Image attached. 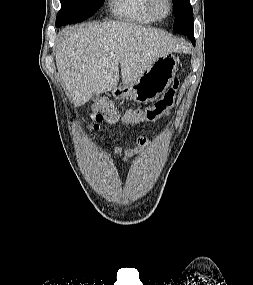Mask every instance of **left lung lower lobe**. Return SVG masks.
<instances>
[{"label": "left lung lower lobe", "instance_id": "0a47b994", "mask_svg": "<svg viewBox=\"0 0 253 285\" xmlns=\"http://www.w3.org/2000/svg\"><path fill=\"white\" fill-rule=\"evenodd\" d=\"M186 36L191 40L192 44L195 45L194 30L188 32Z\"/></svg>", "mask_w": 253, "mask_h": 285}]
</instances>
